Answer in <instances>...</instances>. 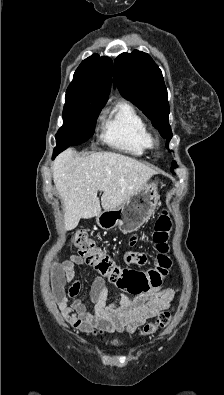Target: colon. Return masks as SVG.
<instances>
[{"mask_svg": "<svg viewBox=\"0 0 224 395\" xmlns=\"http://www.w3.org/2000/svg\"><path fill=\"white\" fill-rule=\"evenodd\" d=\"M172 229V222L167 211H163L155 224L153 241L159 255L155 267L147 271H139L117 264L108 254L90 238L85 230H78L72 236L74 245L78 248L84 261L93 266L110 280L131 294H140L157 286L167 277L172 266L171 259L166 255L169 250L168 240ZM172 320L171 311L161 312L157 320L147 323L141 329L142 335H151L166 327Z\"/></svg>", "mask_w": 224, "mask_h": 395, "instance_id": "obj_1", "label": "colon"}]
</instances>
